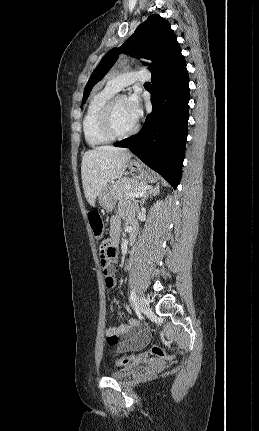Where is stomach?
Instances as JSON below:
<instances>
[{
  "label": "stomach",
  "mask_w": 259,
  "mask_h": 431,
  "mask_svg": "<svg viewBox=\"0 0 259 431\" xmlns=\"http://www.w3.org/2000/svg\"><path fill=\"white\" fill-rule=\"evenodd\" d=\"M127 166L134 179L140 180L143 183L156 182V175L139 162L132 160L128 162ZM111 188L112 186L108 184L102 189V191L98 195V201L100 206L106 210L112 209L115 204V200L113 199L111 194Z\"/></svg>",
  "instance_id": "stomach-1"
}]
</instances>
